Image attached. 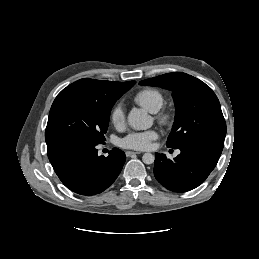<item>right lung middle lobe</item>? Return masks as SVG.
I'll list each match as a JSON object with an SVG mask.
<instances>
[{
    "label": "right lung middle lobe",
    "mask_w": 259,
    "mask_h": 259,
    "mask_svg": "<svg viewBox=\"0 0 259 259\" xmlns=\"http://www.w3.org/2000/svg\"><path fill=\"white\" fill-rule=\"evenodd\" d=\"M132 82L124 91H128ZM117 99L99 102L77 93H59L45 130L46 143L84 141L101 144L108 129L110 111Z\"/></svg>",
    "instance_id": "obj_1"
}]
</instances>
